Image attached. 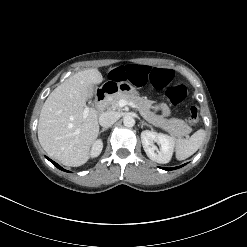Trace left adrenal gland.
Here are the masks:
<instances>
[{"label": "left adrenal gland", "instance_id": "left-adrenal-gland-1", "mask_svg": "<svg viewBox=\"0 0 247 247\" xmlns=\"http://www.w3.org/2000/svg\"><path fill=\"white\" fill-rule=\"evenodd\" d=\"M143 125H146V126H148V127L152 128V126H151V125H149L148 123H146V122H144V121H142V126H143Z\"/></svg>", "mask_w": 247, "mask_h": 247}]
</instances>
